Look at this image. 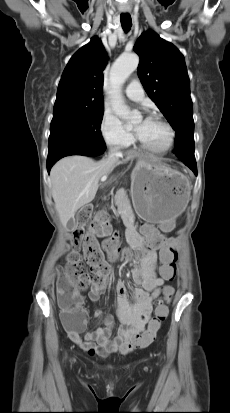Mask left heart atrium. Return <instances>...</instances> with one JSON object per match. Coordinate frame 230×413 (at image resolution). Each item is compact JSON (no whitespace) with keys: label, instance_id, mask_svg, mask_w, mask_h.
<instances>
[{"label":"left heart atrium","instance_id":"1","mask_svg":"<svg viewBox=\"0 0 230 413\" xmlns=\"http://www.w3.org/2000/svg\"><path fill=\"white\" fill-rule=\"evenodd\" d=\"M148 123H149V119H144L141 122L139 128L136 130L137 135H139L145 129Z\"/></svg>","mask_w":230,"mask_h":413}]
</instances>
